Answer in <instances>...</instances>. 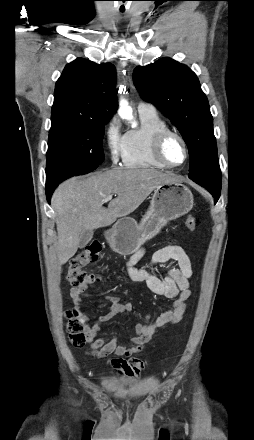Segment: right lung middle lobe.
<instances>
[{
  "label": "right lung middle lobe",
  "mask_w": 254,
  "mask_h": 440,
  "mask_svg": "<svg viewBox=\"0 0 254 440\" xmlns=\"http://www.w3.org/2000/svg\"><path fill=\"white\" fill-rule=\"evenodd\" d=\"M48 139L46 186L59 184L74 175L95 170L104 160V124L80 115L62 113L51 116Z\"/></svg>",
  "instance_id": "obj_1"
}]
</instances>
